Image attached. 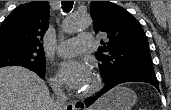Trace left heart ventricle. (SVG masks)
Returning a JSON list of instances; mask_svg holds the SVG:
<instances>
[{"mask_svg":"<svg viewBox=\"0 0 171 110\" xmlns=\"http://www.w3.org/2000/svg\"><path fill=\"white\" fill-rule=\"evenodd\" d=\"M91 84H92V77H90L89 81L87 82V84H86V86L84 87L83 90L88 89L91 86Z\"/></svg>","mask_w":171,"mask_h":110,"instance_id":"left-heart-ventricle-1","label":"left heart ventricle"}]
</instances>
